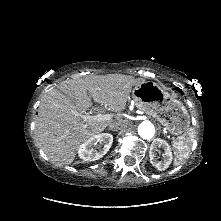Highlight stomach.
I'll return each instance as SVG.
<instances>
[{"instance_id": "1", "label": "stomach", "mask_w": 221, "mask_h": 221, "mask_svg": "<svg viewBox=\"0 0 221 221\" xmlns=\"http://www.w3.org/2000/svg\"><path fill=\"white\" fill-rule=\"evenodd\" d=\"M132 95L137 108L155 117L168 132L181 135L188 130L190 118L185 106L157 83L144 81L133 88Z\"/></svg>"}]
</instances>
